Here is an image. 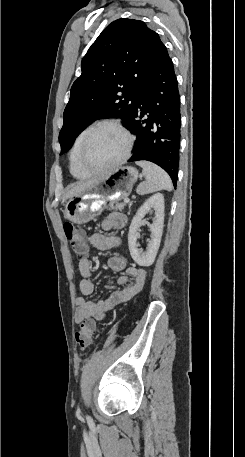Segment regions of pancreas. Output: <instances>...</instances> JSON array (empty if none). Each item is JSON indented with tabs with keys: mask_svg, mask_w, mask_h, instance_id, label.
Here are the masks:
<instances>
[{
	"mask_svg": "<svg viewBox=\"0 0 245 457\" xmlns=\"http://www.w3.org/2000/svg\"><path fill=\"white\" fill-rule=\"evenodd\" d=\"M126 202H109L105 208L108 210H123Z\"/></svg>",
	"mask_w": 245,
	"mask_h": 457,
	"instance_id": "obj_1",
	"label": "pancreas"
}]
</instances>
